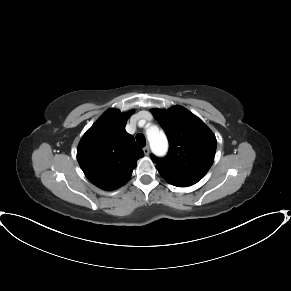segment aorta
<instances>
[{
	"label": "aorta",
	"mask_w": 291,
	"mask_h": 291,
	"mask_svg": "<svg viewBox=\"0 0 291 291\" xmlns=\"http://www.w3.org/2000/svg\"><path fill=\"white\" fill-rule=\"evenodd\" d=\"M147 138L150 142L152 150L162 155L167 151L168 141L163 131L157 126L152 125L146 130Z\"/></svg>",
	"instance_id": "1"
}]
</instances>
